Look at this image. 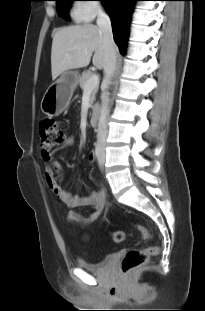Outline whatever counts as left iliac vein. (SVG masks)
<instances>
[{"label":"left iliac vein","mask_w":205,"mask_h":311,"mask_svg":"<svg viewBox=\"0 0 205 311\" xmlns=\"http://www.w3.org/2000/svg\"><path fill=\"white\" fill-rule=\"evenodd\" d=\"M100 155H99V165L103 166L104 162H105V151H104V146L100 145Z\"/></svg>","instance_id":"obj_1"}]
</instances>
